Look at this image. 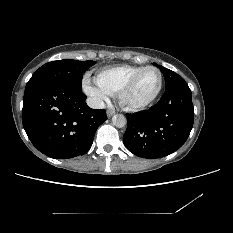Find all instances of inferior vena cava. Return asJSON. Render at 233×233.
Here are the masks:
<instances>
[{
  "instance_id": "inferior-vena-cava-1",
  "label": "inferior vena cava",
  "mask_w": 233,
  "mask_h": 233,
  "mask_svg": "<svg viewBox=\"0 0 233 233\" xmlns=\"http://www.w3.org/2000/svg\"><path fill=\"white\" fill-rule=\"evenodd\" d=\"M87 104L89 107L94 109H103L105 108V103L98 98H88Z\"/></svg>"
}]
</instances>
